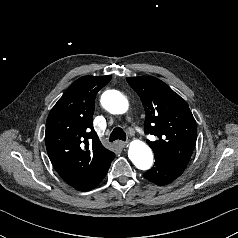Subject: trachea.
Wrapping results in <instances>:
<instances>
[{"mask_svg":"<svg viewBox=\"0 0 238 238\" xmlns=\"http://www.w3.org/2000/svg\"><path fill=\"white\" fill-rule=\"evenodd\" d=\"M122 140V141H126V133L124 132V130L120 127H116L112 133L110 134L109 137V141L113 142L115 140Z\"/></svg>","mask_w":238,"mask_h":238,"instance_id":"trachea-1","label":"trachea"}]
</instances>
